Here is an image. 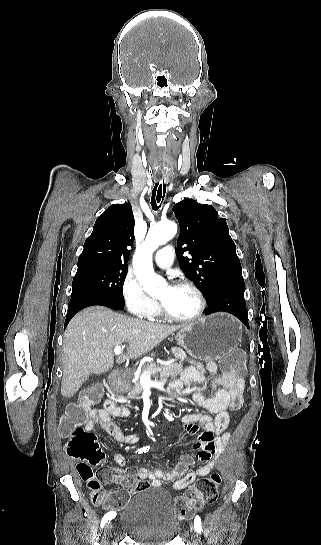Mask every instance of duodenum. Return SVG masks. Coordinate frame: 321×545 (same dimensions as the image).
<instances>
[{
    "mask_svg": "<svg viewBox=\"0 0 321 545\" xmlns=\"http://www.w3.org/2000/svg\"><path fill=\"white\" fill-rule=\"evenodd\" d=\"M125 376L120 371L113 372L109 377V384L111 387L115 390H118L121 388V386L124 384ZM174 386H172L173 388Z\"/></svg>",
    "mask_w": 321,
    "mask_h": 545,
    "instance_id": "1",
    "label": "duodenum"
}]
</instances>
